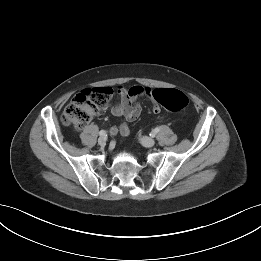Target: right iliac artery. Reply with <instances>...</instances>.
<instances>
[{"label": "right iliac artery", "instance_id": "82829eb1", "mask_svg": "<svg viewBox=\"0 0 261 261\" xmlns=\"http://www.w3.org/2000/svg\"><path fill=\"white\" fill-rule=\"evenodd\" d=\"M99 135H100L101 137L105 136V135H106V131H105V130H101V131L99 132Z\"/></svg>", "mask_w": 261, "mask_h": 261}]
</instances>
